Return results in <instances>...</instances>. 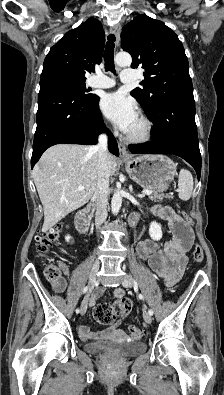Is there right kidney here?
Wrapping results in <instances>:
<instances>
[{"label":"right kidney","mask_w":224,"mask_h":395,"mask_svg":"<svg viewBox=\"0 0 224 395\" xmlns=\"http://www.w3.org/2000/svg\"><path fill=\"white\" fill-rule=\"evenodd\" d=\"M65 240L67 242H73L74 241V239L71 236H69V235L65 237Z\"/></svg>","instance_id":"1"}]
</instances>
